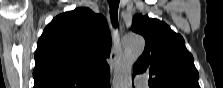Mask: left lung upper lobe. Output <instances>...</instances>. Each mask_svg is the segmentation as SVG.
Here are the masks:
<instances>
[{
	"label": "left lung upper lobe",
	"instance_id": "obj_1",
	"mask_svg": "<svg viewBox=\"0 0 223 88\" xmlns=\"http://www.w3.org/2000/svg\"><path fill=\"white\" fill-rule=\"evenodd\" d=\"M131 29L145 38L144 52L133 71L147 74L151 88H200L193 56L180 34L140 14L134 16Z\"/></svg>",
	"mask_w": 223,
	"mask_h": 88
}]
</instances>
